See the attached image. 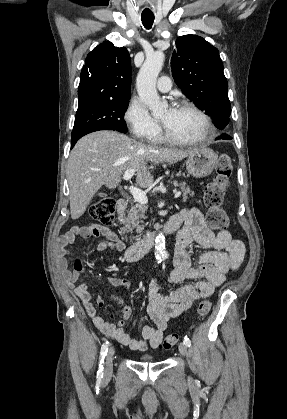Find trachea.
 <instances>
[{"label":"trachea","instance_id":"1","mask_svg":"<svg viewBox=\"0 0 287 419\" xmlns=\"http://www.w3.org/2000/svg\"><path fill=\"white\" fill-rule=\"evenodd\" d=\"M143 26L146 29H150L154 22V15L153 14H142L141 16Z\"/></svg>","mask_w":287,"mask_h":419}]
</instances>
